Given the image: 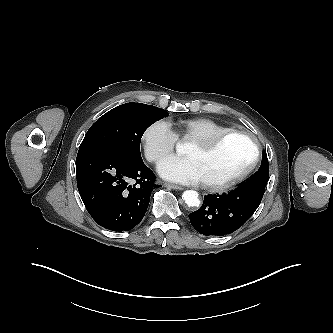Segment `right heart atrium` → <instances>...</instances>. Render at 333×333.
Masks as SVG:
<instances>
[{
	"label": "right heart atrium",
	"instance_id": "d8ad5b80",
	"mask_svg": "<svg viewBox=\"0 0 333 333\" xmlns=\"http://www.w3.org/2000/svg\"><path fill=\"white\" fill-rule=\"evenodd\" d=\"M178 137L165 120H156L149 124L143 134L142 142L147 159L157 163L169 154L176 146Z\"/></svg>",
	"mask_w": 333,
	"mask_h": 333
}]
</instances>
